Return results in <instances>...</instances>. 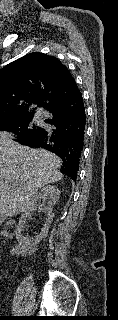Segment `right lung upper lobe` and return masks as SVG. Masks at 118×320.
I'll list each match as a JSON object with an SVG mask.
<instances>
[{
    "instance_id": "cb5924a9",
    "label": "right lung upper lobe",
    "mask_w": 118,
    "mask_h": 320,
    "mask_svg": "<svg viewBox=\"0 0 118 320\" xmlns=\"http://www.w3.org/2000/svg\"><path fill=\"white\" fill-rule=\"evenodd\" d=\"M79 93L71 73L57 58L30 53L0 70V119L33 117L32 104L48 111Z\"/></svg>"
}]
</instances>
